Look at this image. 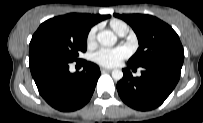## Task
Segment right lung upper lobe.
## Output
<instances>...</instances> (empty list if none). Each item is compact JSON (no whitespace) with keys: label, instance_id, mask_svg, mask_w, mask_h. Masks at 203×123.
I'll use <instances>...</instances> for the list:
<instances>
[{"label":"right lung upper lobe","instance_id":"cb5924a9","mask_svg":"<svg viewBox=\"0 0 203 123\" xmlns=\"http://www.w3.org/2000/svg\"><path fill=\"white\" fill-rule=\"evenodd\" d=\"M70 16L78 18L80 21H82L86 26H88L90 29L93 25L97 24L98 22L105 20L110 17V15H91V14H78V13H71L68 14Z\"/></svg>","mask_w":203,"mask_h":123}]
</instances>
